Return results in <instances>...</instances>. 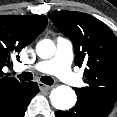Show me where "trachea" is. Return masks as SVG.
I'll return each instance as SVG.
<instances>
[{"label":"trachea","instance_id":"3493384b","mask_svg":"<svg viewBox=\"0 0 117 117\" xmlns=\"http://www.w3.org/2000/svg\"><path fill=\"white\" fill-rule=\"evenodd\" d=\"M17 77L21 81H30L33 79V74L31 72H23L20 75H17ZM40 80L47 85H52L54 83V80L49 76H42Z\"/></svg>","mask_w":117,"mask_h":117}]
</instances>
